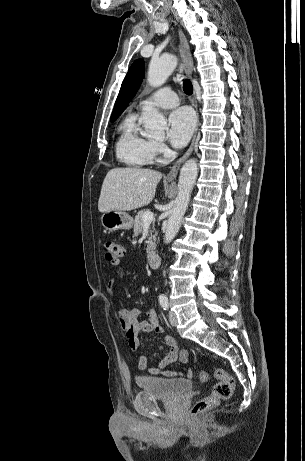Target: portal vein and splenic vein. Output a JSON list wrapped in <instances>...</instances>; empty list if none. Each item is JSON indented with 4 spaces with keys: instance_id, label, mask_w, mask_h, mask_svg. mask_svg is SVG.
Returning <instances> with one entry per match:
<instances>
[{
    "instance_id": "1",
    "label": "portal vein and splenic vein",
    "mask_w": 305,
    "mask_h": 461,
    "mask_svg": "<svg viewBox=\"0 0 305 461\" xmlns=\"http://www.w3.org/2000/svg\"><path fill=\"white\" fill-rule=\"evenodd\" d=\"M154 219V214L152 212H146L144 215H143V223L144 224H149L153 221Z\"/></svg>"
}]
</instances>
